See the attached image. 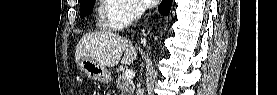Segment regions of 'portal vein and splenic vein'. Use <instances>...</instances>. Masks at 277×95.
Returning a JSON list of instances; mask_svg holds the SVG:
<instances>
[{
    "label": "portal vein and splenic vein",
    "instance_id": "18ae733b",
    "mask_svg": "<svg viewBox=\"0 0 277 95\" xmlns=\"http://www.w3.org/2000/svg\"><path fill=\"white\" fill-rule=\"evenodd\" d=\"M123 76L127 79V80H132L135 76V73L132 71V70H126L124 73H123Z\"/></svg>",
    "mask_w": 277,
    "mask_h": 95
}]
</instances>
